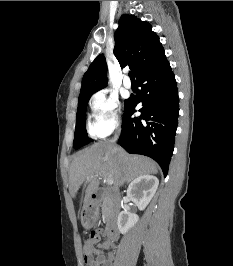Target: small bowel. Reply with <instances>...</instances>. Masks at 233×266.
Returning <instances> with one entry per match:
<instances>
[{"instance_id": "obj_1", "label": "small bowel", "mask_w": 233, "mask_h": 266, "mask_svg": "<svg viewBox=\"0 0 233 266\" xmlns=\"http://www.w3.org/2000/svg\"><path fill=\"white\" fill-rule=\"evenodd\" d=\"M115 256V245L105 239L97 246L89 242L84 244V259L87 266H112Z\"/></svg>"}]
</instances>
